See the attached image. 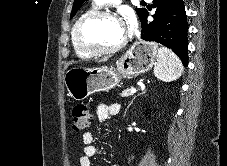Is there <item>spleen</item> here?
<instances>
[{"instance_id":"3e777b00","label":"spleen","mask_w":227,"mask_h":166,"mask_svg":"<svg viewBox=\"0 0 227 166\" xmlns=\"http://www.w3.org/2000/svg\"><path fill=\"white\" fill-rule=\"evenodd\" d=\"M183 71L180 59L172 50L166 47L158 49V59L154 67L155 77L164 82H171L177 80Z\"/></svg>"}]
</instances>
